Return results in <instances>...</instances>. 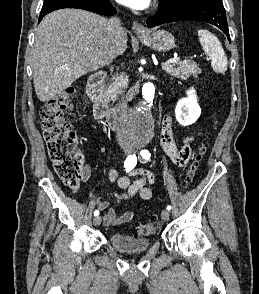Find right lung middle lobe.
<instances>
[{"label":"right lung middle lobe","mask_w":259,"mask_h":294,"mask_svg":"<svg viewBox=\"0 0 259 294\" xmlns=\"http://www.w3.org/2000/svg\"><path fill=\"white\" fill-rule=\"evenodd\" d=\"M58 1H62V0H44L42 10L47 9L48 7H50L51 5H53L54 3ZM71 1H87V0H71Z\"/></svg>","instance_id":"right-lung-middle-lobe-1"}]
</instances>
